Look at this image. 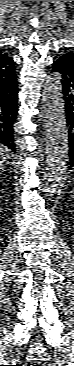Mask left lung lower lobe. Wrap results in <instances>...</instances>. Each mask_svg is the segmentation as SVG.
Returning a JSON list of instances; mask_svg holds the SVG:
<instances>
[{
    "label": "left lung lower lobe",
    "instance_id": "1",
    "mask_svg": "<svg viewBox=\"0 0 74 366\" xmlns=\"http://www.w3.org/2000/svg\"><path fill=\"white\" fill-rule=\"evenodd\" d=\"M54 72L61 77L64 94L66 121L71 146L69 165L74 166V64L65 58H58L53 63Z\"/></svg>",
    "mask_w": 74,
    "mask_h": 366
}]
</instances>
